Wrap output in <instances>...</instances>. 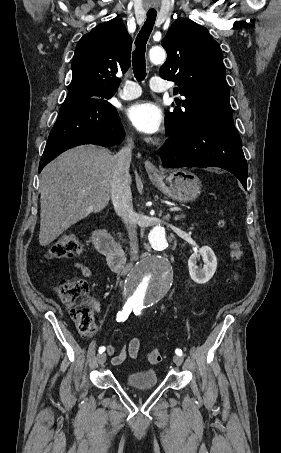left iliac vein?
Masks as SVG:
<instances>
[{
  "instance_id": "left-iliac-vein-1",
  "label": "left iliac vein",
  "mask_w": 281,
  "mask_h": 453,
  "mask_svg": "<svg viewBox=\"0 0 281 453\" xmlns=\"http://www.w3.org/2000/svg\"><path fill=\"white\" fill-rule=\"evenodd\" d=\"M173 360L175 365L183 364L182 362L184 361L183 357H179L178 355H174Z\"/></svg>"
}]
</instances>
